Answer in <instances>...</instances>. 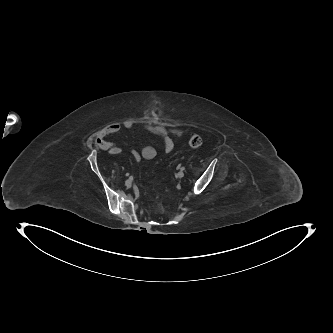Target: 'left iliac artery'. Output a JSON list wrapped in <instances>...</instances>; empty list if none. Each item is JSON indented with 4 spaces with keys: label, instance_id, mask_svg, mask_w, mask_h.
<instances>
[{
    "label": "left iliac artery",
    "instance_id": "obj_1",
    "mask_svg": "<svg viewBox=\"0 0 333 333\" xmlns=\"http://www.w3.org/2000/svg\"><path fill=\"white\" fill-rule=\"evenodd\" d=\"M179 167H180V170H181V171L185 170V167H183V166H181V165H179Z\"/></svg>",
    "mask_w": 333,
    "mask_h": 333
}]
</instances>
